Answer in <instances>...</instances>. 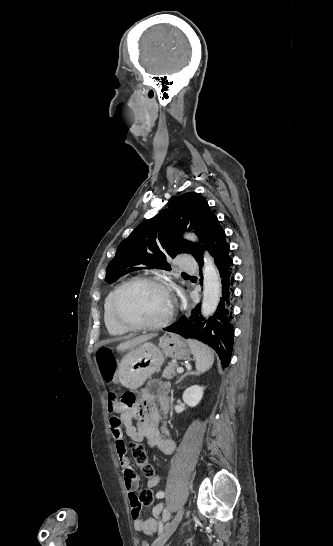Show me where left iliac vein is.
Returning a JSON list of instances; mask_svg holds the SVG:
<instances>
[{"instance_id": "1", "label": "left iliac vein", "mask_w": 333, "mask_h": 546, "mask_svg": "<svg viewBox=\"0 0 333 546\" xmlns=\"http://www.w3.org/2000/svg\"><path fill=\"white\" fill-rule=\"evenodd\" d=\"M184 514V508H180L172 521L168 523L161 535L152 543V546H164L169 537L177 529Z\"/></svg>"}]
</instances>
